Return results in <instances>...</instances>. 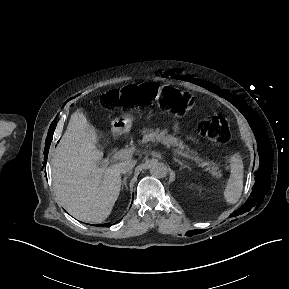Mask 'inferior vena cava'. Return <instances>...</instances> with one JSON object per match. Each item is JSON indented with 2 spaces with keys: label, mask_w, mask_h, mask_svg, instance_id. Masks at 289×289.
I'll return each mask as SVG.
<instances>
[{
  "label": "inferior vena cava",
  "mask_w": 289,
  "mask_h": 289,
  "mask_svg": "<svg viewBox=\"0 0 289 289\" xmlns=\"http://www.w3.org/2000/svg\"><path fill=\"white\" fill-rule=\"evenodd\" d=\"M136 163H137L136 160H132L131 158H128V159L122 161L121 163H119L117 165V168H118L120 173L126 174L129 172H132V169L134 168Z\"/></svg>",
  "instance_id": "1"
}]
</instances>
